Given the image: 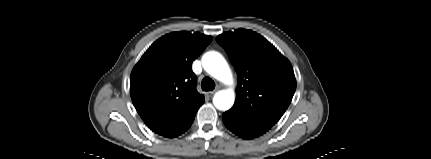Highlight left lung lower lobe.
Returning <instances> with one entry per match:
<instances>
[{"label":"left lung lower lobe","mask_w":431,"mask_h":159,"mask_svg":"<svg viewBox=\"0 0 431 159\" xmlns=\"http://www.w3.org/2000/svg\"><path fill=\"white\" fill-rule=\"evenodd\" d=\"M225 126L237 136L243 139H253L267 132L271 126L244 120L230 111L223 114Z\"/></svg>","instance_id":"1"}]
</instances>
